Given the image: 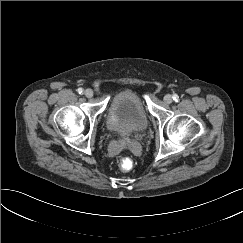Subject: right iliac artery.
I'll return each instance as SVG.
<instances>
[{"mask_svg":"<svg viewBox=\"0 0 243 243\" xmlns=\"http://www.w3.org/2000/svg\"><path fill=\"white\" fill-rule=\"evenodd\" d=\"M77 91L79 94H83V92H84L82 88H79Z\"/></svg>","mask_w":243,"mask_h":243,"instance_id":"82829eb1","label":"right iliac artery"}]
</instances>
